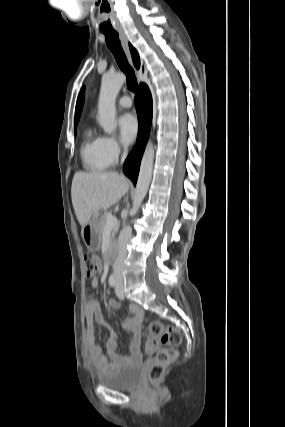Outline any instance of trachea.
<instances>
[{
	"label": "trachea",
	"mask_w": 285,
	"mask_h": 427,
	"mask_svg": "<svg viewBox=\"0 0 285 427\" xmlns=\"http://www.w3.org/2000/svg\"><path fill=\"white\" fill-rule=\"evenodd\" d=\"M108 48L113 53L117 64L126 75L128 89L135 92L137 90V79L133 69L130 67L124 51L121 47L119 34L116 31H103Z\"/></svg>",
	"instance_id": "3493384b"
}]
</instances>
